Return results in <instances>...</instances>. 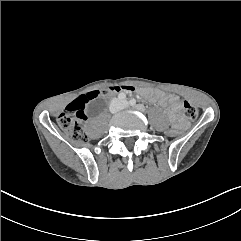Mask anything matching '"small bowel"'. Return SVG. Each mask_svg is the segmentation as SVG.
I'll return each instance as SVG.
<instances>
[{
  "mask_svg": "<svg viewBox=\"0 0 241 241\" xmlns=\"http://www.w3.org/2000/svg\"><path fill=\"white\" fill-rule=\"evenodd\" d=\"M120 91L130 92L125 88ZM143 94L146 99L157 102L159 105L167 108L169 116L176 120L178 126H182V122L177 118V114L181 108V102L178 96L167 94L162 91H144Z\"/></svg>",
  "mask_w": 241,
  "mask_h": 241,
  "instance_id": "1",
  "label": "small bowel"
}]
</instances>
